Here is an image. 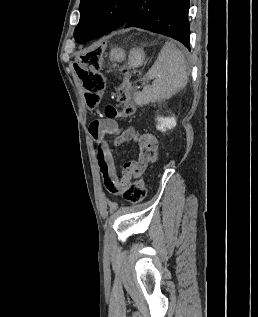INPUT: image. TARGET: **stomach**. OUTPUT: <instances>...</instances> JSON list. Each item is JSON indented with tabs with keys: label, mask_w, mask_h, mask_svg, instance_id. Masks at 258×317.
Segmentation results:
<instances>
[{
	"label": "stomach",
	"mask_w": 258,
	"mask_h": 317,
	"mask_svg": "<svg viewBox=\"0 0 258 317\" xmlns=\"http://www.w3.org/2000/svg\"><path fill=\"white\" fill-rule=\"evenodd\" d=\"M111 60H117V62H121L125 58V52L123 48H111L109 54ZM145 50L137 46V48H131L128 56L129 64L131 68H137V66H141L145 60Z\"/></svg>",
	"instance_id": "0dacf381"
}]
</instances>
